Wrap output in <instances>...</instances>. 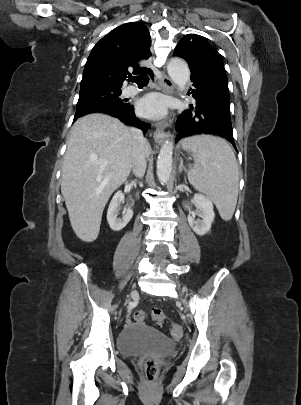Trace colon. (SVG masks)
Returning a JSON list of instances; mask_svg holds the SVG:
<instances>
[{"mask_svg":"<svg viewBox=\"0 0 301 405\" xmlns=\"http://www.w3.org/2000/svg\"><path fill=\"white\" fill-rule=\"evenodd\" d=\"M133 318L136 322H144L145 320L150 319L157 324H161L165 319V314L160 309H153L149 313L143 310H137L134 312ZM171 333L173 337L181 338L183 335V330L179 325L173 324L171 327ZM145 370L147 379L152 382L157 378L160 368L154 359H148L145 362Z\"/></svg>","mask_w":301,"mask_h":405,"instance_id":"5ec220e1","label":"colon"}]
</instances>
